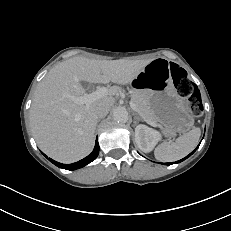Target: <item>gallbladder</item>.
<instances>
[{"label":"gallbladder","instance_id":"gallbladder-1","mask_svg":"<svg viewBox=\"0 0 231 231\" xmlns=\"http://www.w3.org/2000/svg\"><path fill=\"white\" fill-rule=\"evenodd\" d=\"M81 85L85 89L89 88V86H90L87 82H81Z\"/></svg>","mask_w":231,"mask_h":231}]
</instances>
